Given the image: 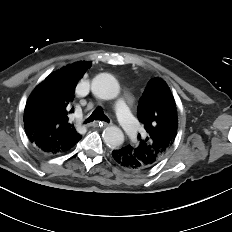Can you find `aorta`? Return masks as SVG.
<instances>
[{
  "instance_id": "aorta-1",
  "label": "aorta",
  "mask_w": 232,
  "mask_h": 232,
  "mask_svg": "<svg viewBox=\"0 0 232 232\" xmlns=\"http://www.w3.org/2000/svg\"><path fill=\"white\" fill-rule=\"evenodd\" d=\"M92 93L103 100H112L118 97L120 86L118 81L108 73L97 75L91 84ZM105 144L112 149L121 146L124 142V133L117 126H109L103 131Z\"/></svg>"
}]
</instances>
